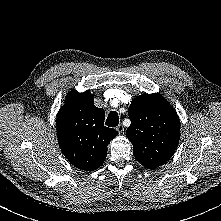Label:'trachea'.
I'll return each mask as SVG.
<instances>
[{
  "mask_svg": "<svg viewBox=\"0 0 221 221\" xmlns=\"http://www.w3.org/2000/svg\"><path fill=\"white\" fill-rule=\"evenodd\" d=\"M119 124V116L116 111H111L106 119V125L109 127H116Z\"/></svg>",
  "mask_w": 221,
  "mask_h": 221,
  "instance_id": "3493384b",
  "label": "trachea"
}]
</instances>
